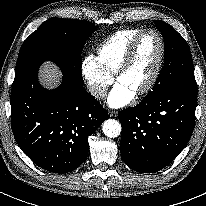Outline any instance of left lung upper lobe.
Returning <instances> with one entry per match:
<instances>
[{"instance_id":"5c2ea615","label":"left lung upper lobe","mask_w":206,"mask_h":206,"mask_svg":"<svg viewBox=\"0 0 206 206\" xmlns=\"http://www.w3.org/2000/svg\"><path fill=\"white\" fill-rule=\"evenodd\" d=\"M156 27L164 38L165 62L151 97L177 86H196L191 52L183 37L169 24L156 20Z\"/></svg>"}]
</instances>
